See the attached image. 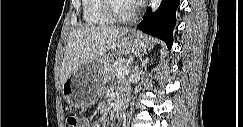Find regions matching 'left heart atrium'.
I'll use <instances>...</instances> for the list:
<instances>
[{"label": "left heart atrium", "mask_w": 243, "mask_h": 127, "mask_svg": "<svg viewBox=\"0 0 243 127\" xmlns=\"http://www.w3.org/2000/svg\"><path fill=\"white\" fill-rule=\"evenodd\" d=\"M131 3L133 4H139L141 3L142 1L141 0H130Z\"/></svg>", "instance_id": "left-heart-atrium-1"}]
</instances>
